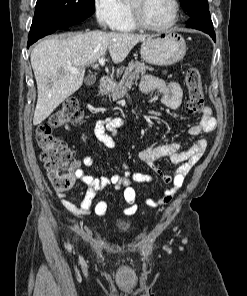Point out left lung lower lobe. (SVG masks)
<instances>
[{
  "mask_svg": "<svg viewBox=\"0 0 247 296\" xmlns=\"http://www.w3.org/2000/svg\"><path fill=\"white\" fill-rule=\"evenodd\" d=\"M187 27L201 30L209 34L214 41L216 40L209 11H203L197 15L192 16L187 24Z\"/></svg>",
  "mask_w": 247,
  "mask_h": 296,
  "instance_id": "1",
  "label": "left lung lower lobe"
}]
</instances>
